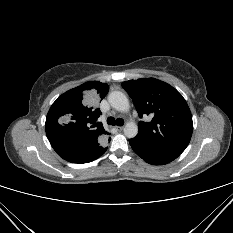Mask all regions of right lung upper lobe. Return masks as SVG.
<instances>
[{"instance_id": "right-lung-upper-lobe-1", "label": "right lung upper lobe", "mask_w": 233, "mask_h": 233, "mask_svg": "<svg viewBox=\"0 0 233 233\" xmlns=\"http://www.w3.org/2000/svg\"><path fill=\"white\" fill-rule=\"evenodd\" d=\"M108 90L106 83L89 81L68 90L52 104L46 117V135L53 149L66 161L88 163L105 153L109 133L97 122L100 109L92 107L88 100L92 97L102 100Z\"/></svg>"}]
</instances>
